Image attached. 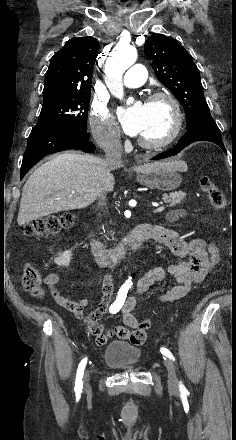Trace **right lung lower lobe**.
I'll return each mask as SVG.
<instances>
[{
	"mask_svg": "<svg viewBox=\"0 0 236 440\" xmlns=\"http://www.w3.org/2000/svg\"><path fill=\"white\" fill-rule=\"evenodd\" d=\"M91 153L95 145L89 133L79 128L34 127L29 135L21 167V179L44 156L67 149Z\"/></svg>",
	"mask_w": 236,
	"mask_h": 440,
	"instance_id": "1",
	"label": "right lung lower lobe"
}]
</instances>
